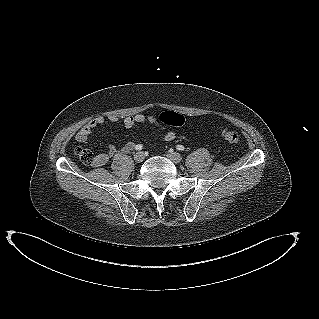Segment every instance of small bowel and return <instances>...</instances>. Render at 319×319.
Here are the masks:
<instances>
[{
  "label": "small bowel",
  "instance_id": "c3829d8e",
  "mask_svg": "<svg viewBox=\"0 0 319 319\" xmlns=\"http://www.w3.org/2000/svg\"><path fill=\"white\" fill-rule=\"evenodd\" d=\"M108 120L112 123H116L119 121L118 116L110 115ZM106 121V118L103 116H98L91 121H89L86 125H84L77 133L76 140L79 143H86L92 131L99 125L103 124ZM149 122L151 124H158L157 117L155 115L144 116L142 114L129 115L123 119V124L126 128H133L138 124H143ZM176 137L185 138V136L178 134L176 131L172 129H166L162 139L166 142L173 141ZM134 143L131 141L126 142L121 148H117L115 145L110 144L107 149L103 152L97 153L95 155V160L93 165L95 166H103L105 165L112 157L121 153L128 154L134 148Z\"/></svg>",
  "mask_w": 319,
  "mask_h": 319
}]
</instances>
